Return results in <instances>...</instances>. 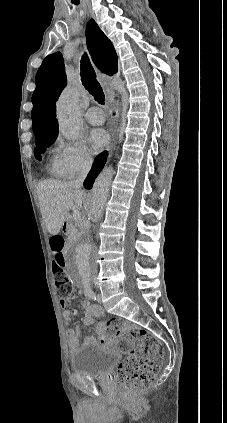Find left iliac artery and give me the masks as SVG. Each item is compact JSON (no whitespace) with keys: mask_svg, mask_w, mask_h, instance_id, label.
<instances>
[{"mask_svg":"<svg viewBox=\"0 0 227 423\" xmlns=\"http://www.w3.org/2000/svg\"><path fill=\"white\" fill-rule=\"evenodd\" d=\"M83 288H84L85 295L89 299L96 300V296H95V293H94V291L92 289V283L91 282L84 283L83 284Z\"/></svg>","mask_w":227,"mask_h":423,"instance_id":"obj_1","label":"left iliac artery"}]
</instances>
